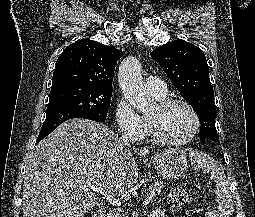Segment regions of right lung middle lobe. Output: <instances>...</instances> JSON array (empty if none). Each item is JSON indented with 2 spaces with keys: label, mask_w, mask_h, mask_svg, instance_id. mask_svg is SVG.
I'll use <instances>...</instances> for the list:
<instances>
[{
  "label": "right lung middle lobe",
  "mask_w": 255,
  "mask_h": 217,
  "mask_svg": "<svg viewBox=\"0 0 255 217\" xmlns=\"http://www.w3.org/2000/svg\"><path fill=\"white\" fill-rule=\"evenodd\" d=\"M112 91V89H98L75 84L51 87L47 112L55 109H69L105 120Z\"/></svg>",
  "instance_id": "dd1d6c3e"
}]
</instances>
